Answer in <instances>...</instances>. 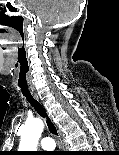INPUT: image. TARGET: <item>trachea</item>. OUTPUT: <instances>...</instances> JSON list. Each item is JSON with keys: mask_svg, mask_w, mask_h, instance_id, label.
<instances>
[{"mask_svg": "<svg viewBox=\"0 0 119 155\" xmlns=\"http://www.w3.org/2000/svg\"><path fill=\"white\" fill-rule=\"evenodd\" d=\"M20 90H22L21 96H25L27 101L31 104V106L36 110V112L46 118V122L48 125V129L49 131L53 134V135H58L57 133V129L55 127V125L52 123V121L50 120V118H48L47 113L45 108L41 105V103L39 101H37L30 93L31 90H29V87H20Z\"/></svg>", "mask_w": 119, "mask_h": 155, "instance_id": "1", "label": "trachea"}]
</instances>
